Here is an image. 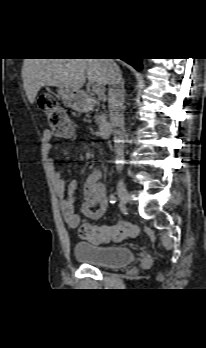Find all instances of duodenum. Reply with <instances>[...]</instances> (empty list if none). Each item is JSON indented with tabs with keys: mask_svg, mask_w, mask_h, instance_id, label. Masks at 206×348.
<instances>
[{
	"mask_svg": "<svg viewBox=\"0 0 206 348\" xmlns=\"http://www.w3.org/2000/svg\"><path fill=\"white\" fill-rule=\"evenodd\" d=\"M95 100L93 99H88L87 100V106L88 107H93L95 105ZM113 133V125L106 119H102L101 121V126H100V135L102 137H109Z\"/></svg>",
	"mask_w": 206,
	"mask_h": 348,
	"instance_id": "obj_1",
	"label": "duodenum"
}]
</instances>
